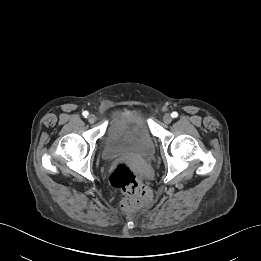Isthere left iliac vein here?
Returning <instances> with one entry per match:
<instances>
[{"label": "left iliac vein", "instance_id": "obj_1", "mask_svg": "<svg viewBox=\"0 0 261 261\" xmlns=\"http://www.w3.org/2000/svg\"><path fill=\"white\" fill-rule=\"evenodd\" d=\"M163 121L166 124H170L172 122V116L170 114H165L163 116Z\"/></svg>", "mask_w": 261, "mask_h": 261}]
</instances>
